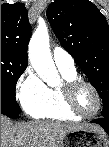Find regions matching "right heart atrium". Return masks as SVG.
I'll return each mask as SVG.
<instances>
[{
	"label": "right heart atrium",
	"mask_w": 109,
	"mask_h": 147,
	"mask_svg": "<svg viewBox=\"0 0 109 147\" xmlns=\"http://www.w3.org/2000/svg\"><path fill=\"white\" fill-rule=\"evenodd\" d=\"M16 98L23 109L28 111L48 103L49 88L32 69L27 68L17 81Z\"/></svg>",
	"instance_id": "1"
}]
</instances>
